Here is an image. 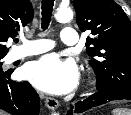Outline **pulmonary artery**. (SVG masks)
Returning a JSON list of instances; mask_svg holds the SVG:
<instances>
[{
	"label": "pulmonary artery",
	"instance_id": "e3ab8cb5",
	"mask_svg": "<svg viewBox=\"0 0 131 115\" xmlns=\"http://www.w3.org/2000/svg\"><path fill=\"white\" fill-rule=\"evenodd\" d=\"M61 41L65 45H76L78 33L73 27H65L61 31ZM52 48L51 42L47 40H29L25 46L13 52V58L19 59L30 55L40 54Z\"/></svg>",
	"mask_w": 131,
	"mask_h": 115
}]
</instances>
